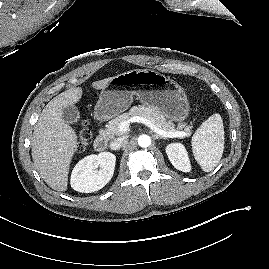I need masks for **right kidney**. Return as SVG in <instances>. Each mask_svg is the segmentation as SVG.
<instances>
[{
    "label": "right kidney",
    "instance_id": "obj_1",
    "mask_svg": "<svg viewBox=\"0 0 269 269\" xmlns=\"http://www.w3.org/2000/svg\"><path fill=\"white\" fill-rule=\"evenodd\" d=\"M116 156L110 152L92 154L80 160L71 174V187L81 193L102 189L112 178ZM100 167V170L97 168Z\"/></svg>",
    "mask_w": 269,
    "mask_h": 269
}]
</instances>
